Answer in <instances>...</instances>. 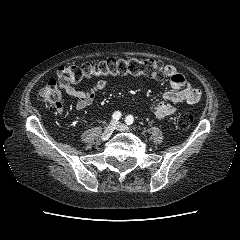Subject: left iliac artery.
<instances>
[{
  "mask_svg": "<svg viewBox=\"0 0 240 240\" xmlns=\"http://www.w3.org/2000/svg\"><path fill=\"white\" fill-rule=\"evenodd\" d=\"M134 121V118L132 115H128L126 118H125V122L127 125H131Z\"/></svg>",
  "mask_w": 240,
  "mask_h": 240,
  "instance_id": "1",
  "label": "left iliac artery"
}]
</instances>
